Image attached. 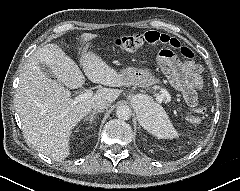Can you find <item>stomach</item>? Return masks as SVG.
<instances>
[{"label":"stomach","mask_w":240,"mask_h":191,"mask_svg":"<svg viewBox=\"0 0 240 191\" xmlns=\"http://www.w3.org/2000/svg\"><path fill=\"white\" fill-rule=\"evenodd\" d=\"M124 85L127 86H140L148 87L159 82V80L153 75L149 68L138 69L134 67H128L120 71L119 73ZM139 120L145 113L146 108L140 105H135ZM141 123V121H140Z\"/></svg>","instance_id":"1"}]
</instances>
